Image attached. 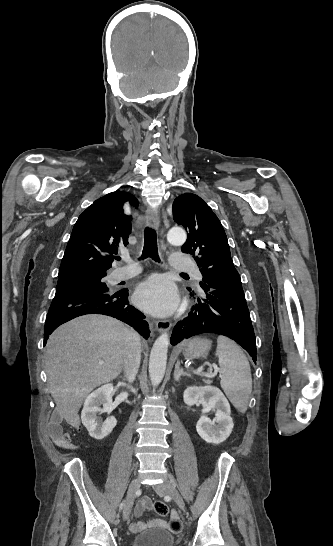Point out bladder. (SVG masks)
I'll return each instance as SVG.
<instances>
[{
	"label": "bladder",
	"instance_id": "1",
	"mask_svg": "<svg viewBox=\"0 0 333 546\" xmlns=\"http://www.w3.org/2000/svg\"><path fill=\"white\" fill-rule=\"evenodd\" d=\"M174 536L163 529H153L137 535L132 546H174Z\"/></svg>",
	"mask_w": 333,
	"mask_h": 546
}]
</instances>
